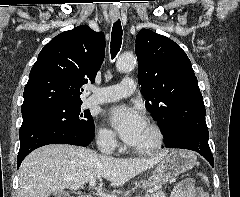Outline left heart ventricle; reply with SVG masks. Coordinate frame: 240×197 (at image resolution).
I'll list each match as a JSON object with an SVG mask.
<instances>
[{
  "instance_id": "1",
  "label": "left heart ventricle",
  "mask_w": 240,
  "mask_h": 197,
  "mask_svg": "<svg viewBox=\"0 0 240 197\" xmlns=\"http://www.w3.org/2000/svg\"><path fill=\"white\" fill-rule=\"evenodd\" d=\"M152 141H153V137H152L151 131L146 125L143 133L141 134L139 139L134 144H132V146H135V147L146 146V145H150Z\"/></svg>"
}]
</instances>
